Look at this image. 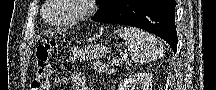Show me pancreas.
Instances as JSON below:
<instances>
[{
	"label": "pancreas",
	"instance_id": "obj_1",
	"mask_svg": "<svg viewBox=\"0 0 216 90\" xmlns=\"http://www.w3.org/2000/svg\"><path fill=\"white\" fill-rule=\"evenodd\" d=\"M95 66L94 70L95 72H98V74H106V72H109V66H105V64H101V62H95L93 64Z\"/></svg>",
	"mask_w": 216,
	"mask_h": 90
}]
</instances>
